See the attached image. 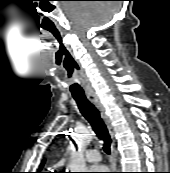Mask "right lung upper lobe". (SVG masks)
<instances>
[{
  "mask_svg": "<svg viewBox=\"0 0 170 173\" xmlns=\"http://www.w3.org/2000/svg\"><path fill=\"white\" fill-rule=\"evenodd\" d=\"M43 165H44V162H42V163H41L40 168H42V167H43Z\"/></svg>",
  "mask_w": 170,
  "mask_h": 173,
  "instance_id": "right-lung-upper-lobe-1",
  "label": "right lung upper lobe"
}]
</instances>
